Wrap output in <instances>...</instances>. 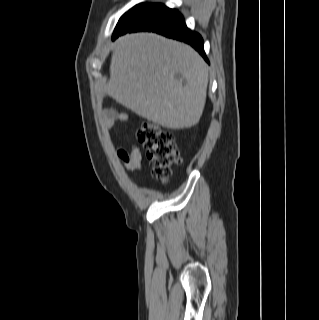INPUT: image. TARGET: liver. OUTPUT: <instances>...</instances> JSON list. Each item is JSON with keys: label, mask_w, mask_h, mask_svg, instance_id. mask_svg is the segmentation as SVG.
Wrapping results in <instances>:
<instances>
[{"label": "liver", "mask_w": 319, "mask_h": 320, "mask_svg": "<svg viewBox=\"0 0 319 320\" xmlns=\"http://www.w3.org/2000/svg\"><path fill=\"white\" fill-rule=\"evenodd\" d=\"M207 85V65L193 48L146 32L117 39L104 91L148 121L184 129L199 122Z\"/></svg>", "instance_id": "6515ba94"}]
</instances>
